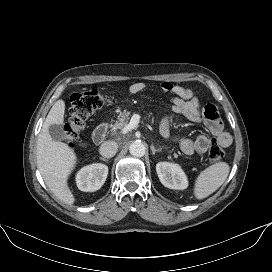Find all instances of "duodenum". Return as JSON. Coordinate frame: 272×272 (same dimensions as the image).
Segmentation results:
<instances>
[{
  "label": "duodenum",
  "mask_w": 272,
  "mask_h": 272,
  "mask_svg": "<svg viewBox=\"0 0 272 272\" xmlns=\"http://www.w3.org/2000/svg\"><path fill=\"white\" fill-rule=\"evenodd\" d=\"M108 126L106 124L98 125L92 134V139L95 144H101L107 135Z\"/></svg>",
  "instance_id": "410a0bca"
}]
</instances>
